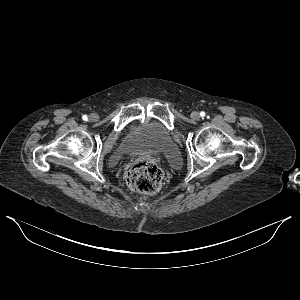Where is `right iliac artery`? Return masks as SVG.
I'll use <instances>...</instances> for the list:
<instances>
[{
    "mask_svg": "<svg viewBox=\"0 0 300 300\" xmlns=\"http://www.w3.org/2000/svg\"><path fill=\"white\" fill-rule=\"evenodd\" d=\"M82 119H83L84 121H87V120H88L87 115H83V116H82Z\"/></svg>",
    "mask_w": 300,
    "mask_h": 300,
    "instance_id": "1",
    "label": "right iliac artery"
}]
</instances>
